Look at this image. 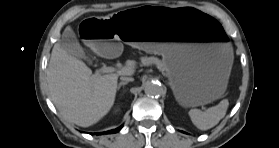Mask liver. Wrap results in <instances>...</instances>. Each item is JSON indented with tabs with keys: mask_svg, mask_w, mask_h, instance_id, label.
Segmentation results:
<instances>
[{
	"mask_svg": "<svg viewBox=\"0 0 279 148\" xmlns=\"http://www.w3.org/2000/svg\"><path fill=\"white\" fill-rule=\"evenodd\" d=\"M89 46L101 55L92 44ZM135 67L136 62L128 60L117 73L92 74L83 61L69 55L56 43L47 69L50 98L68 122L81 127L92 126L112 108L119 75L131 76Z\"/></svg>",
	"mask_w": 279,
	"mask_h": 148,
	"instance_id": "6515ba94",
	"label": "liver"
}]
</instances>
